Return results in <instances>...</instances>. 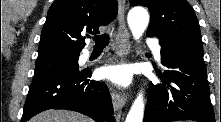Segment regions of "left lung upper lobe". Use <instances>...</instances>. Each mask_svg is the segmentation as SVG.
<instances>
[{"instance_id":"5c2ea615","label":"left lung upper lobe","mask_w":221,"mask_h":122,"mask_svg":"<svg viewBox=\"0 0 221 122\" xmlns=\"http://www.w3.org/2000/svg\"><path fill=\"white\" fill-rule=\"evenodd\" d=\"M129 2L132 6L142 5L149 9L151 20L147 31L154 34L160 42L203 53L199 23L186 0H129Z\"/></svg>"}]
</instances>
